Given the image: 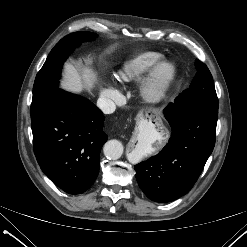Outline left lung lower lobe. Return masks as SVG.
<instances>
[{"label": "left lung lower lobe", "instance_id": "1", "mask_svg": "<svg viewBox=\"0 0 247 247\" xmlns=\"http://www.w3.org/2000/svg\"><path fill=\"white\" fill-rule=\"evenodd\" d=\"M164 115L172 128L168 144L135 166L140 188L159 203L187 194L197 181L215 145L218 105L187 96L170 103Z\"/></svg>", "mask_w": 247, "mask_h": 247}]
</instances>
